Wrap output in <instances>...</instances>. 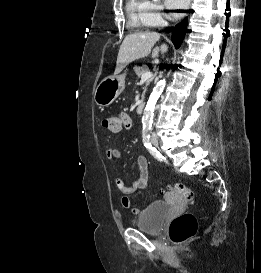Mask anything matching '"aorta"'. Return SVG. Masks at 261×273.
<instances>
[{
	"instance_id": "762f6f07",
	"label": "aorta",
	"mask_w": 261,
	"mask_h": 273,
	"mask_svg": "<svg viewBox=\"0 0 261 273\" xmlns=\"http://www.w3.org/2000/svg\"><path fill=\"white\" fill-rule=\"evenodd\" d=\"M158 1L154 0V2ZM165 83V79L158 81L149 96L142 118L143 128L150 129L152 127L155 106L165 87Z\"/></svg>"
}]
</instances>
